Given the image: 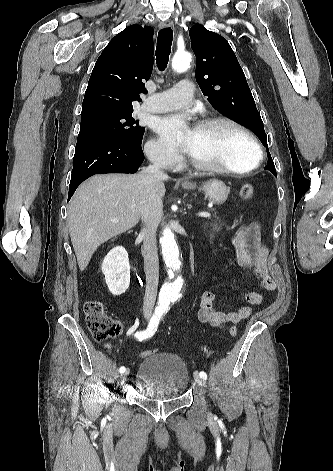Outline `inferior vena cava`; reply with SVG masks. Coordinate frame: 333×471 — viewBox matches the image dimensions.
<instances>
[{
  "label": "inferior vena cava",
  "mask_w": 333,
  "mask_h": 471,
  "mask_svg": "<svg viewBox=\"0 0 333 471\" xmlns=\"http://www.w3.org/2000/svg\"><path fill=\"white\" fill-rule=\"evenodd\" d=\"M143 173L155 177H167L157 162L144 168ZM162 201L159 199H148L144 202L141 211L143 222V257L146 274V290L143 302V312L151 314L155 305L158 281L159 260L156 245V231L162 219Z\"/></svg>",
  "instance_id": "obj_1"
}]
</instances>
